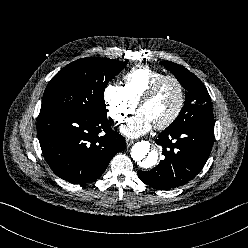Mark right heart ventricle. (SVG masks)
Listing matches in <instances>:
<instances>
[{
  "mask_svg": "<svg viewBox=\"0 0 248 248\" xmlns=\"http://www.w3.org/2000/svg\"><path fill=\"white\" fill-rule=\"evenodd\" d=\"M162 75L163 72L149 66H137L123 76V89L130 100L137 104L148 87Z\"/></svg>",
  "mask_w": 248,
  "mask_h": 248,
  "instance_id": "obj_1",
  "label": "right heart ventricle"
}]
</instances>
